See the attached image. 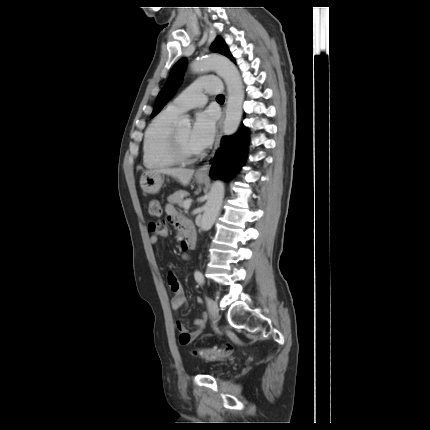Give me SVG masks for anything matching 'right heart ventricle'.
<instances>
[{
  "label": "right heart ventricle",
  "instance_id": "obj_1",
  "mask_svg": "<svg viewBox=\"0 0 430 430\" xmlns=\"http://www.w3.org/2000/svg\"><path fill=\"white\" fill-rule=\"evenodd\" d=\"M180 114L165 109L148 125L143 139V164L149 169L173 167L177 162L169 151V138Z\"/></svg>",
  "mask_w": 430,
  "mask_h": 430
}]
</instances>
